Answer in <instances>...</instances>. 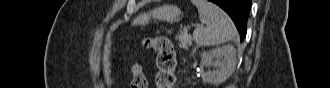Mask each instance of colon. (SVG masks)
Wrapping results in <instances>:
<instances>
[{"label": "colon", "instance_id": "1", "mask_svg": "<svg viewBox=\"0 0 330 88\" xmlns=\"http://www.w3.org/2000/svg\"><path fill=\"white\" fill-rule=\"evenodd\" d=\"M144 46L157 54L158 73L156 85L158 88H172L175 83V53L172 43L167 37L156 36L145 38ZM132 88H147L145 75L140 64L132 67Z\"/></svg>", "mask_w": 330, "mask_h": 88}]
</instances>
